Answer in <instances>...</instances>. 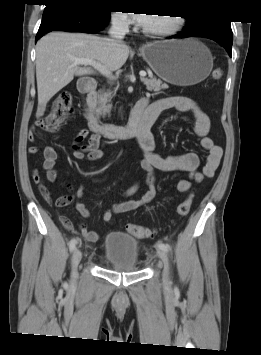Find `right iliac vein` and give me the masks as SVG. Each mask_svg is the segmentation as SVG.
I'll list each match as a JSON object with an SVG mask.
<instances>
[{
  "instance_id": "right-iliac-vein-1",
  "label": "right iliac vein",
  "mask_w": 261,
  "mask_h": 355,
  "mask_svg": "<svg viewBox=\"0 0 261 355\" xmlns=\"http://www.w3.org/2000/svg\"><path fill=\"white\" fill-rule=\"evenodd\" d=\"M82 259V252L80 249L76 248L72 256V285L76 283L77 280V267Z\"/></svg>"
}]
</instances>
